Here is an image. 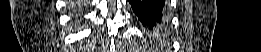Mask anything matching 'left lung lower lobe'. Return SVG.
<instances>
[{
  "mask_svg": "<svg viewBox=\"0 0 261 52\" xmlns=\"http://www.w3.org/2000/svg\"><path fill=\"white\" fill-rule=\"evenodd\" d=\"M134 13L146 30L157 35L167 25L165 0H129Z\"/></svg>",
  "mask_w": 261,
  "mask_h": 52,
  "instance_id": "0a47b994",
  "label": "left lung lower lobe"
}]
</instances>
